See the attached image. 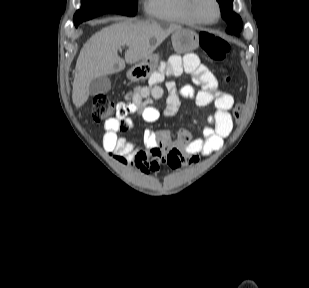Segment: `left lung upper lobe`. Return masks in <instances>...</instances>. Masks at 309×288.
I'll use <instances>...</instances> for the list:
<instances>
[{
	"label": "left lung upper lobe",
	"instance_id": "obj_1",
	"mask_svg": "<svg viewBox=\"0 0 309 288\" xmlns=\"http://www.w3.org/2000/svg\"><path fill=\"white\" fill-rule=\"evenodd\" d=\"M220 5V10L224 20L228 24L227 33L229 34H239L242 29L241 18L232 11L233 0H217Z\"/></svg>",
	"mask_w": 309,
	"mask_h": 288
}]
</instances>
